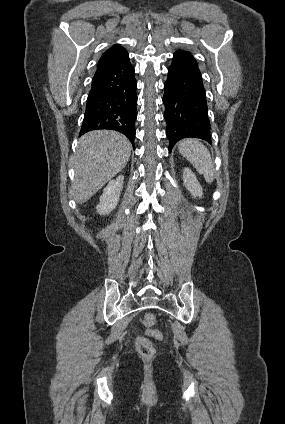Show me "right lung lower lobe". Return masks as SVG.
<instances>
[{
  "label": "right lung lower lobe",
  "mask_w": 285,
  "mask_h": 424,
  "mask_svg": "<svg viewBox=\"0 0 285 424\" xmlns=\"http://www.w3.org/2000/svg\"><path fill=\"white\" fill-rule=\"evenodd\" d=\"M129 57L97 68L92 79L80 135L98 129L123 133L133 144L137 82Z\"/></svg>",
  "instance_id": "98d812e1"
}]
</instances>
